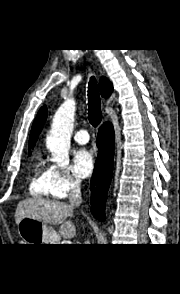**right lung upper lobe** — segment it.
Masks as SVG:
<instances>
[{
    "mask_svg": "<svg viewBox=\"0 0 180 294\" xmlns=\"http://www.w3.org/2000/svg\"><path fill=\"white\" fill-rule=\"evenodd\" d=\"M100 92L103 97H108L113 91L112 83L105 77H101L100 83ZM47 117V108L43 106L38 112L36 119L33 123L30 138H29V149H32L35 146V142L38 138L39 133L41 132L43 125Z\"/></svg>",
    "mask_w": 180,
    "mask_h": 294,
    "instance_id": "cb5924a9",
    "label": "right lung upper lobe"
}]
</instances>
